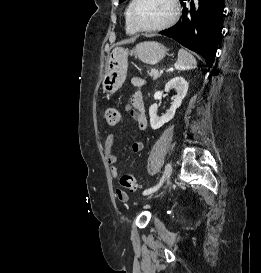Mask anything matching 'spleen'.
<instances>
[{"label": "spleen", "mask_w": 261, "mask_h": 273, "mask_svg": "<svg viewBox=\"0 0 261 273\" xmlns=\"http://www.w3.org/2000/svg\"><path fill=\"white\" fill-rule=\"evenodd\" d=\"M174 66L177 70L195 69L197 67V61L188 51L180 49L178 51V59Z\"/></svg>", "instance_id": "spleen-1"}]
</instances>
